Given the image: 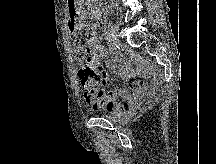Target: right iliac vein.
<instances>
[{
	"mask_svg": "<svg viewBox=\"0 0 216 164\" xmlns=\"http://www.w3.org/2000/svg\"><path fill=\"white\" fill-rule=\"evenodd\" d=\"M105 24H106V28H107L108 33L110 34L111 38L114 41H117L118 40L117 29L110 22H106Z\"/></svg>",
	"mask_w": 216,
	"mask_h": 164,
	"instance_id": "right-iliac-vein-1",
	"label": "right iliac vein"
}]
</instances>
